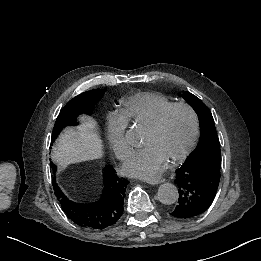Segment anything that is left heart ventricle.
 I'll use <instances>...</instances> for the list:
<instances>
[{"instance_id": "1", "label": "left heart ventricle", "mask_w": 261, "mask_h": 261, "mask_svg": "<svg viewBox=\"0 0 261 261\" xmlns=\"http://www.w3.org/2000/svg\"><path fill=\"white\" fill-rule=\"evenodd\" d=\"M192 131L191 114L185 109L170 108L154 126L140 123L141 144H152L167 159L187 145Z\"/></svg>"}]
</instances>
